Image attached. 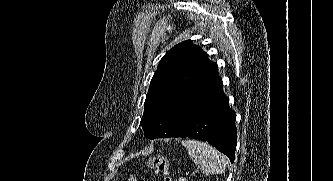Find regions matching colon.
Returning a JSON list of instances; mask_svg holds the SVG:
<instances>
[{"label": "colon", "mask_w": 333, "mask_h": 181, "mask_svg": "<svg viewBox=\"0 0 333 181\" xmlns=\"http://www.w3.org/2000/svg\"><path fill=\"white\" fill-rule=\"evenodd\" d=\"M170 159L163 155L149 157L145 162V167L165 175V181H170L168 174L170 171ZM128 181H138L135 174L129 176Z\"/></svg>", "instance_id": "colon-1"}]
</instances>
